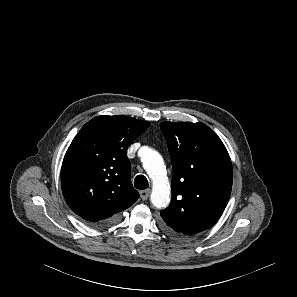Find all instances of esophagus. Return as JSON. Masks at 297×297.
<instances>
[{
	"mask_svg": "<svg viewBox=\"0 0 297 297\" xmlns=\"http://www.w3.org/2000/svg\"><path fill=\"white\" fill-rule=\"evenodd\" d=\"M150 193H151L150 189L140 191L141 199L142 200H147L149 198V196H150Z\"/></svg>",
	"mask_w": 297,
	"mask_h": 297,
	"instance_id": "34e87169",
	"label": "esophagus"
}]
</instances>
